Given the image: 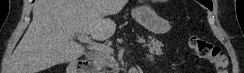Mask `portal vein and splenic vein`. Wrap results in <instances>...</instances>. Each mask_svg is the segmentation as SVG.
I'll list each match as a JSON object with an SVG mask.
<instances>
[{
	"mask_svg": "<svg viewBox=\"0 0 244 73\" xmlns=\"http://www.w3.org/2000/svg\"><path fill=\"white\" fill-rule=\"evenodd\" d=\"M78 40L83 42V43H87V44L91 45L98 52H112L113 53V49L112 48L92 41L90 39V37H88L85 34H78ZM137 42L138 43H145L146 41H145V39H139V40H137Z\"/></svg>",
	"mask_w": 244,
	"mask_h": 73,
	"instance_id": "obj_1",
	"label": "portal vein and splenic vein"
}]
</instances>
